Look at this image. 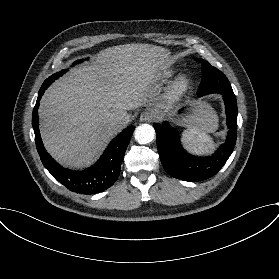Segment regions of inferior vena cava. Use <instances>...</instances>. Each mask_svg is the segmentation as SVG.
Listing matches in <instances>:
<instances>
[{
	"instance_id": "inferior-vena-cava-1",
	"label": "inferior vena cava",
	"mask_w": 279,
	"mask_h": 279,
	"mask_svg": "<svg viewBox=\"0 0 279 279\" xmlns=\"http://www.w3.org/2000/svg\"><path fill=\"white\" fill-rule=\"evenodd\" d=\"M129 119V115L126 110H123L120 113H115L111 116V119L108 121V124L116 129L123 128Z\"/></svg>"
}]
</instances>
